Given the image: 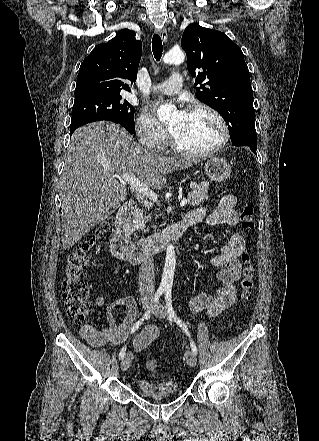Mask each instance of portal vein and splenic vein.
Returning a JSON list of instances; mask_svg holds the SVG:
<instances>
[{
	"instance_id": "18ae733b",
	"label": "portal vein and splenic vein",
	"mask_w": 319,
	"mask_h": 441,
	"mask_svg": "<svg viewBox=\"0 0 319 441\" xmlns=\"http://www.w3.org/2000/svg\"><path fill=\"white\" fill-rule=\"evenodd\" d=\"M118 178L126 181L136 191L147 196L150 200L157 202L158 196L147 185L142 183L135 175L134 172H123L117 175ZM187 203V199L184 198L180 202V206L183 207Z\"/></svg>"
}]
</instances>
